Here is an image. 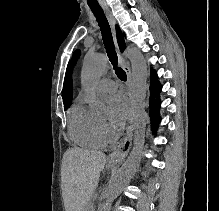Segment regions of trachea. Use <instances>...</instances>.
Returning a JSON list of instances; mask_svg holds the SVG:
<instances>
[{
	"label": "trachea",
	"mask_w": 219,
	"mask_h": 211,
	"mask_svg": "<svg viewBox=\"0 0 219 211\" xmlns=\"http://www.w3.org/2000/svg\"><path fill=\"white\" fill-rule=\"evenodd\" d=\"M90 9L94 13V16L96 17V21L98 22V26L100 27V31L102 34V40L104 42V46L108 55V58L113 65V68L115 70L116 75L118 78L122 81H126V73L125 71L120 68L117 62V54L115 51L114 43H113V37L111 34V29L108 23V20L106 16L104 15V12L100 5H89Z\"/></svg>",
	"instance_id": "1"
}]
</instances>
